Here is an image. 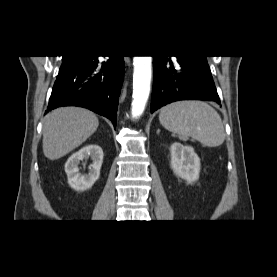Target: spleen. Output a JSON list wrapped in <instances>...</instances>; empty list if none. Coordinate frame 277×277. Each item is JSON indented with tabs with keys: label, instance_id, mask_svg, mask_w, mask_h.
Masks as SVG:
<instances>
[{
	"label": "spleen",
	"instance_id": "3e777b00",
	"mask_svg": "<svg viewBox=\"0 0 277 277\" xmlns=\"http://www.w3.org/2000/svg\"><path fill=\"white\" fill-rule=\"evenodd\" d=\"M161 125L181 140L189 137L208 147L221 145L225 140L224 126L217 111L202 101H178L161 109Z\"/></svg>",
	"mask_w": 277,
	"mask_h": 277
}]
</instances>
